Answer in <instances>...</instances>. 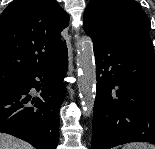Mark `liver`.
<instances>
[{"label":"liver","mask_w":155,"mask_h":149,"mask_svg":"<svg viewBox=\"0 0 155 149\" xmlns=\"http://www.w3.org/2000/svg\"><path fill=\"white\" fill-rule=\"evenodd\" d=\"M0 149H33V147L14 136L0 133Z\"/></svg>","instance_id":"liver-1"}]
</instances>
